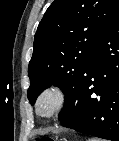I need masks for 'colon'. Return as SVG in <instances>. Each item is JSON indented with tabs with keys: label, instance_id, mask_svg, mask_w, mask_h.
<instances>
[{
	"label": "colon",
	"instance_id": "obj_1",
	"mask_svg": "<svg viewBox=\"0 0 119 141\" xmlns=\"http://www.w3.org/2000/svg\"><path fill=\"white\" fill-rule=\"evenodd\" d=\"M39 141H54V139L50 137H43V138H40Z\"/></svg>",
	"mask_w": 119,
	"mask_h": 141
}]
</instances>
